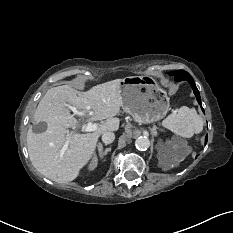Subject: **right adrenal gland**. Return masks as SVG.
Here are the masks:
<instances>
[{
  "instance_id": "right-adrenal-gland-1",
  "label": "right adrenal gland",
  "mask_w": 233,
  "mask_h": 233,
  "mask_svg": "<svg viewBox=\"0 0 233 233\" xmlns=\"http://www.w3.org/2000/svg\"><path fill=\"white\" fill-rule=\"evenodd\" d=\"M102 145H100V147H101ZM111 151V147H108V148H106L102 153H101V155H105V154H107L108 152H110Z\"/></svg>"
}]
</instances>
